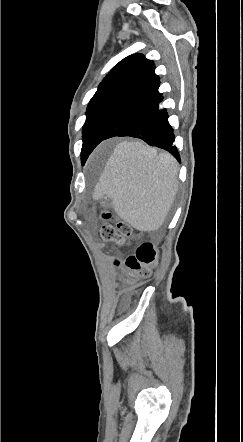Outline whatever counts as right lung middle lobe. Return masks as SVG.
<instances>
[{"instance_id": "1", "label": "right lung middle lobe", "mask_w": 243, "mask_h": 442, "mask_svg": "<svg viewBox=\"0 0 243 442\" xmlns=\"http://www.w3.org/2000/svg\"><path fill=\"white\" fill-rule=\"evenodd\" d=\"M125 96L121 95H107L91 99L87 111L86 122L83 126V145L81 156L85 152L92 134L95 129L106 116V114Z\"/></svg>"}]
</instances>
